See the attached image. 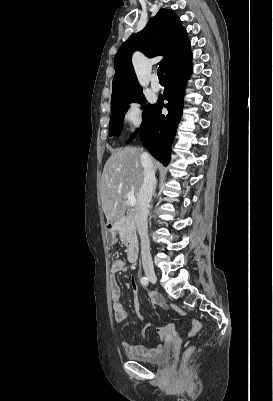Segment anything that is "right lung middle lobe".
<instances>
[{
	"mask_svg": "<svg viewBox=\"0 0 273 401\" xmlns=\"http://www.w3.org/2000/svg\"><path fill=\"white\" fill-rule=\"evenodd\" d=\"M131 102H138L140 104L145 103V98L143 94H138L135 96H132L125 101H123L121 104L118 106L112 107V114H111V119H110V126H109V135L110 136H118L120 134V125L124 119L125 112L127 111V106ZM153 107V104H149L145 107L143 111V122L141 124V128H144L150 120V114H151V109ZM136 133H134L135 135Z\"/></svg>",
	"mask_w": 273,
	"mask_h": 401,
	"instance_id": "right-lung-middle-lobe-1",
	"label": "right lung middle lobe"
}]
</instances>
